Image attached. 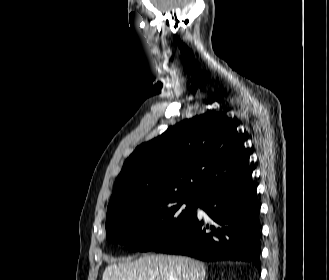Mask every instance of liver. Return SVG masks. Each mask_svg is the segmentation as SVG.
Masks as SVG:
<instances>
[{
	"label": "liver",
	"instance_id": "1",
	"mask_svg": "<svg viewBox=\"0 0 329 280\" xmlns=\"http://www.w3.org/2000/svg\"><path fill=\"white\" fill-rule=\"evenodd\" d=\"M203 263L185 256L146 255L112 263L102 280H204Z\"/></svg>",
	"mask_w": 329,
	"mask_h": 280
}]
</instances>
